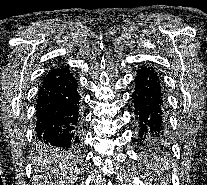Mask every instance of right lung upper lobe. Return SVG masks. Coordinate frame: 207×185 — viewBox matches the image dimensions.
<instances>
[{
	"mask_svg": "<svg viewBox=\"0 0 207 185\" xmlns=\"http://www.w3.org/2000/svg\"><path fill=\"white\" fill-rule=\"evenodd\" d=\"M67 74H70L69 70H68V67H66V68H64V67L52 68V70H50V72H48L44 82L48 81L50 79H53V78H57V77L67 75Z\"/></svg>",
	"mask_w": 207,
	"mask_h": 185,
	"instance_id": "1",
	"label": "right lung upper lobe"
}]
</instances>
